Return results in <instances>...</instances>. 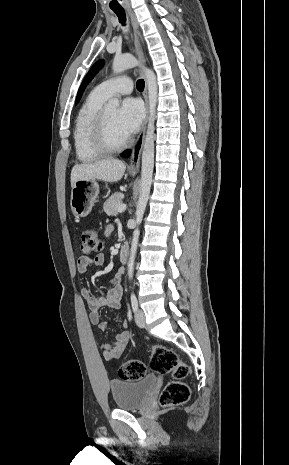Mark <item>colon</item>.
<instances>
[{"mask_svg": "<svg viewBox=\"0 0 289 465\" xmlns=\"http://www.w3.org/2000/svg\"><path fill=\"white\" fill-rule=\"evenodd\" d=\"M81 251L85 254L99 252L103 243L93 227H85L81 233ZM150 366L159 374H172L173 381L169 382L161 392L160 403L163 406H173L185 403L190 397V389L183 381L189 373L188 366L182 362L177 353L161 345L152 347ZM147 373L146 364L133 358L124 362L118 371L119 377L125 381H138Z\"/></svg>", "mask_w": 289, "mask_h": 465, "instance_id": "obj_1", "label": "colon"}]
</instances>
